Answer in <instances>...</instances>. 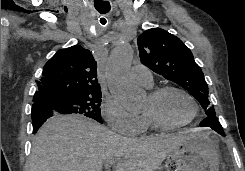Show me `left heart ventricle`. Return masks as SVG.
Returning a JSON list of instances; mask_svg holds the SVG:
<instances>
[{
  "label": "left heart ventricle",
  "mask_w": 245,
  "mask_h": 171,
  "mask_svg": "<svg viewBox=\"0 0 245 171\" xmlns=\"http://www.w3.org/2000/svg\"><path fill=\"white\" fill-rule=\"evenodd\" d=\"M153 110L156 114L168 123H182L188 120L193 107L190 101L181 93L169 91L163 94L157 102L147 98L144 112Z\"/></svg>",
  "instance_id": "obj_1"
}]
</instances>
